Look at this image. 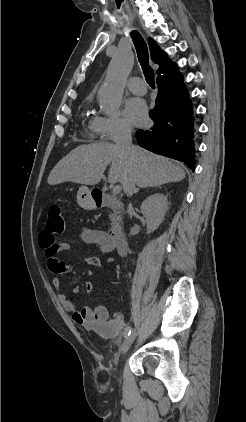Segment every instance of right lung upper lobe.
<instances>
[{"mask_svg":"<svg viewBox=\"0 0 246 422\" xmlns=\"http://www.w3.org/2000/svg\"><path fill=\"white\" fill-rule=\"evenodd\" d=\"M148 43L151 52V59L154 63L159 65V69L157 70V81H166L178 76L180 73L176 63L167 58V54L160 49L152 38H149Z\"/></svg>","mask_w":246,"mask_h":422,"instance_id":"cb5924a9","label":"right lung upper lobe"}]
</instances>
